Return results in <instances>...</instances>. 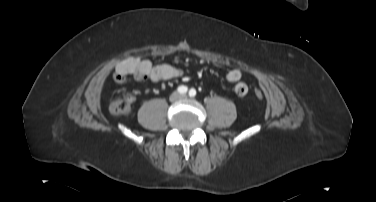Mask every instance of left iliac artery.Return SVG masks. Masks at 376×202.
Masks as SVG:
<instances>
[{"mask_svg": "<svg viewBox=\"0 0 376 202\" xmlns=\"http://www.w3.org/2000/svg\"><path fill=\"white\" fill-rule=\"evenodd\" d=\"M196 95V90L195 89H190L189 91V96L194 97Z\"/></svg>", "mask_w": 376, "mask_h": 202, "instance_id": "left-iliac-artery-1", "label": "left iliac artery"}]
</instances>
